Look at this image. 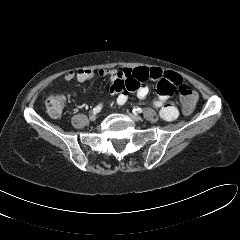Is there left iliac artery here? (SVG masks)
Wrapping results in <instances>:
<instances>
[{
	"instance_id": "1",
	"label": "left iliac artery",
	"mask_w": 240,
	"mask_h": 240,
	"mask_svg": "<svg viewBox=\"0 0 240 240\" xmlns=\"http://www.w3.org/2000/svg\"><path fill=\"white\" fill-rule=\"evenodd\" d=\"M143 112V109L142 108H134L133 109V113H142Z\"/></svg>"
}]
</instances>
